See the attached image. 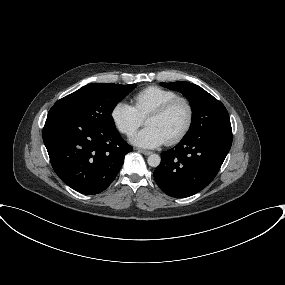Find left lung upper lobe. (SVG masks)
Segmentation results:
<instances>
[{"label": "left lung upper lobe", "mask_w": 285, "mask_h": 285, "mask_svg": "<svg viewBox=\"0 0 285 285\" xmlns=\"http://www.w3.org/2000/svg\"><path fill=\"white\" fill-rule=\"evenodd\" d=\"M168 89L181 92L192 108V122L185 136L210 130L232 131L229 114L224 105L201 87L189 82L160 83Z\"/></svg>", "instance_id": "5c2ea615"}]
</instances>
